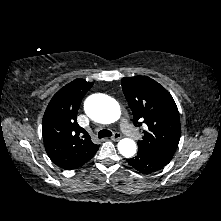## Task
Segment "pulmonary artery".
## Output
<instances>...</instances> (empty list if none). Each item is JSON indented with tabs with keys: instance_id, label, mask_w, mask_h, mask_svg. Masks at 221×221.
Wrapping results in <instances>:
<instances>
[{
	"instance_id": "obj_1",
	"label": "pulmonary artery",
	"mask_w": 221,
	"mask_h": 221,
	"mask_svg": "<svg viewBox=\"0 0 221 221\" xmlns=\"http://www.w3.org/2000/svg\"><path fill=\"white\" fill-rule=\"evenodd\" d=\"M121 128H122V131L124 132V134L128 137H131L133 139H138L140 137V134L136 130L130 129L126 120L122 121Z\"/></svg>"
}]
</instances>
